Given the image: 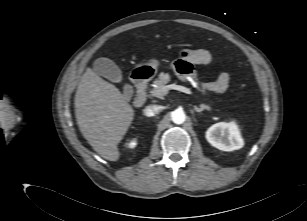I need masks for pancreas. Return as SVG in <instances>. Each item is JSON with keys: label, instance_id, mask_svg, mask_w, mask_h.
<instances>
[{"label": "pancreas", "instance_id": "cf45deb5", "mask_svg": "<svg viewBox=\"0 0 307 221\" xmlns=\"http://www.w3.org/2000/svg\"><path fill=\"white\" fill-rule=\"evenodd\" d=\"M171 81V77L168 73H161L158 78L154 81V88L150 91V94L154 97L161 98L163 95L159 94V91L162 90L167 84ZM200 92H204L202 87H199Z\"/></svg>", "mask_w": 307, "mask_h": 221}]
</instances>
